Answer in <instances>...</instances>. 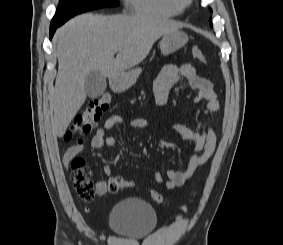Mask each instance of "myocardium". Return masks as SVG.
<instances>
[{
    "mask_svg": "<svg viewBox=\"0 0 283 245\" xmlns=\"http://www.w3.org/2000/svg\"><path fill=\"white\" fill-rule=\"evenodd\" d=\"M190 1H191V0H184L185 6L188 5Z\"/></svg>",
    "mask_w": 283,
    "mask_h": 245,
    "instance_id": "1",
    "label": "myocardium"
}]
</instances>
